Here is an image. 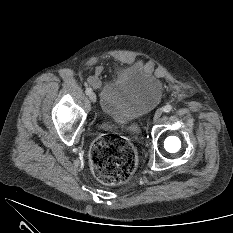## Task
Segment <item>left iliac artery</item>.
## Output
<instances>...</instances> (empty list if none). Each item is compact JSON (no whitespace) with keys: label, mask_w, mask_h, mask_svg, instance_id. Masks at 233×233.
Masks as SVG:
<instances>
[{"label":"left iliac artery","mask_w":233,"mask_h":233,"mask_svg":"<svg viewBox=\"0 0 233 233\" xmlns=\"http://www.w3.org/2000/svg\"><path fill=\"white\" fill-rule=\"evenodd\" d=\"M172 110V106L170 104H167L163 107V111L168 113Z\"/></svg>","instance_id":"44dca946"}]
</instances>
